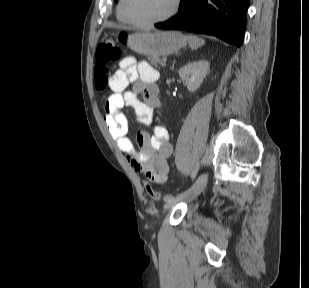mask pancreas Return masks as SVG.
<instances>
[{
    "mask_svg": "<svg viewBox=\"0 0 309 288\" xmlns=\"http://www.w3.org/2000/svg\"><path fill=\"white\" fill-rule=\"evenodd\" d=\"M148 60H149V62H150L152 65H154V66H156L157 64H162L161 59H160L159 57H156V56H154V57H149Z\"/></svg>",
    "mask_w": 309,
    "mask_h": 288,
    "instance_id": "obj_1",
    "label": "pancreas"
}]
</instances>
